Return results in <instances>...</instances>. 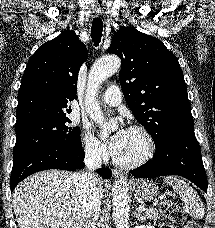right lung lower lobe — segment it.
Masks as SVG:
<instances>
[{"mask_svg":"<svg viewBox=\"0 0 215 228\" xmlns=\"http://www.w3.org/2000/svg\"><path fill=\"white\" fill-rule=\"evenodd\" d=\"M85 154L82 148L58 145H42L30 148L13 156L11 172V192L27 176L47 169L74 171L84 168ZM103 178L108 179L112 172L108 168L97 170Z\"/></svg>","mask_w":215,"mask_h":228,"instance_id":"obj_1","label":"right lung lower lobe"}]
</instances>
